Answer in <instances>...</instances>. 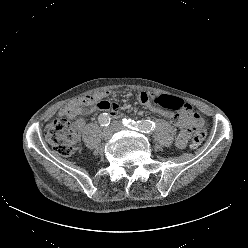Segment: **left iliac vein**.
<instances>
[{
  "label": "left iliac vein",
  "instance_id": "left-iliac-vein-1",
  "mask_svg": "<svg viewBox=\"0 0 248 248\" xmlns=\"http://www.w3.org/2000/svg\"><path fill=\"white\" fill-rule=\"evenodd\" d=\"M112 128L115 130V131H122V130H125L127 129L122 123L118 122V121H114L112 123Z\"/></svg>",
  "mask_w": 248,
  "mask_h": 248
}]
</instances>
